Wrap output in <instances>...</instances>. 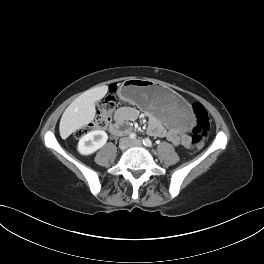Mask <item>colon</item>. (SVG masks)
<instances>
[{
    "label": "colon",
    "instance_id": "colon-1",
    "mask_svg": "<svg viewBox=\"0 0 264 264\" xmlns=\"http://www.w3.org/2000/svg\"><path fill=\"white\" fill-rule=\"evenodd\" d=\"M114 88L110 90V94L102 100L97 108L94 120L88 127L79 130L78 135L81 136L91 129H104L111 121L112 114L116 108V99L113 95ZM192 111L195 117V126L191 137L192 145L196 149L203 147L210 130V121L207 110L201 103H194Z\"/></svg>",
    "mask_w": 264,
    "mask_h": 264
}]
</instances>
